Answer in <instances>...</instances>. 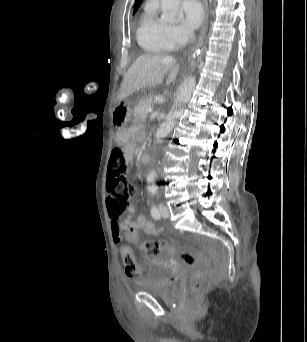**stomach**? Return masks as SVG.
Here are the masks:
<instances>
[{
    "mask_svg": "<svg viewBox=\"0 0 307 342\" xmlns=\"http://www.w3.org/2000/svg\"><path fill=\"white\" fill-rule=\"evenodd\" d=\"M131 115V107H116L113 111V121L117 126L124 128L131 120Z\"/></svg>",
    "mask_w": 307,
    "mask_h": 342,
    "instance_id": "1",
    "label": "stomach"
}]
</instances>
